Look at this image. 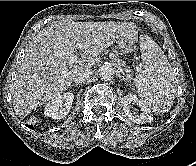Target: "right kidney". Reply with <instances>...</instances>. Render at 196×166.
<instances>
[{"label":"right kidney","instance_id":"right-kidney-1","mask_svg":"<svg viewBox=\"0 0 196 166\" xmlns=\"http://www.w3.org/2000/svg\"><path fill=\"white\" fill-rule=\"evenodd\" d=\"M74 99V94L67 92L63 95H58L45 106L44 114L54 120L64 118L70 110Z\"/></svg>","mask_w":196,"mask_h":166}]
</instances>
